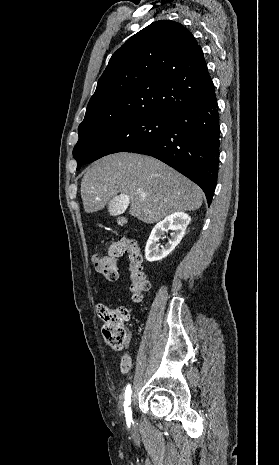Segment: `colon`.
<instances>
[{"instance_id":"5ec220e1","label":"colon","mask_w":279,"mask_h":465,"mask_svg":"<svg viewBox=\"0 0 279 465\" xmlns=\"http://www.w3.org/2000/svg\"><path fill=\"white\" fill-rule=\"evenodd\" d=\"M126 255L129 259L130 292L135 300H140L149 290L150 283L143 265V256L137 243L124 236L111 240L107 252L95 254L92 261L96 270L108 280L114 281L119 272L117 260ZM98 315L103 321V335L106 341L115 350L121 351L128 346L130 337L126 328V322L131 317L130 309L120 307L108 308L98 306Z\"/></svg>"}]
</instances>
